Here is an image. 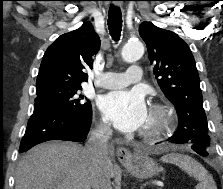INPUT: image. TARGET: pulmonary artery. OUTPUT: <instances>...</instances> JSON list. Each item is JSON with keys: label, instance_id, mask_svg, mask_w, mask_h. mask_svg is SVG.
<instances>
[{"label": "pulmonary artery", "instance_id": "e3ab8cb5", "mask_svg": "<svg viewBox=\"0 0 223 189\" xmlns=\"http://www.w3.org/2000/svg\"><path fill=\"white\" fill-rule=\"evenodd\" d=\"M143 72L139 66H131L125 73L105 72L102 74L98 85L102 88H123L133 83L140 82Z\"/></svg>", "mask_w": 223, "mask_h": 189}]
</instances>
